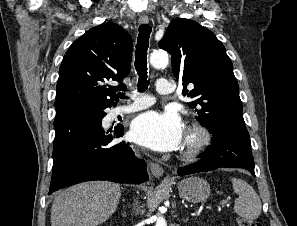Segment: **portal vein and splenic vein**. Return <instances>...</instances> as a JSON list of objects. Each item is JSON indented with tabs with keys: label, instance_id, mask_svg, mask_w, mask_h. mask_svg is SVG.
I'll return each instance as SVG.
<instances>
[{
	"label": "portal vein and splenic vein",
	"instance_id": "obj_1",
	"mask_svg": "<svg viewBox=\"0 0 297 226\" xmlns=\"http://www.w3.org/2000/svg\"><path fill=\"white\" fill-rule=\"evenodd\" d=\"M220 204H226V205H228V200H223L222 202H220Z\"/></svg>",
	"mask_w": 297,
	"mask_h": 226
}]
</instances>
